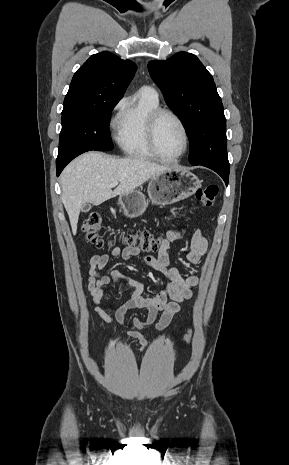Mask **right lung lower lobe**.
<instances>
[{"instance_id": "right-lung-lower-lobe-1", "label": "right lung lower lobe", "mask_w": 289, "mask_h": 465, "mask_svg": "<svg viewBox=\"0 0 289 465\" xmlns=\"http://www.w3.org/2000/svg\"><path fill=\"white\" fill-rule=\"evenodd\" d=\"M71 160L56 162V169H57V176L60 175L63 168L70 162Z\"/></svg>"}]
</instances>
